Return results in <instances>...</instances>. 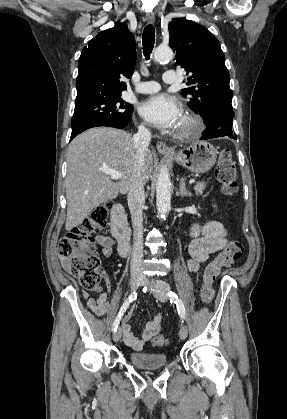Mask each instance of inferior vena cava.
<instances>
[{
	"instance_id": "obj_1",
	"label": "inferior vena cava",
	"mask_w": 287,
	"mask_h": 419,
	"mask_svg": "<svg viewBox=\"0 0 287 419\" xmlns=\"http://www.w3.org/2000/svg\"><path fill=\"white\" fill-rule=\"evenodd\" d=\"M136 161L127 200L133 227V248L130 262L131 276L143 277V207L145 204L142 166L151 141V132L144 126L133 135Z\"/></svg>"
}]
</instances>
